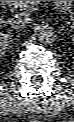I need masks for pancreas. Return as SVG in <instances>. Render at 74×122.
I'll return each mask as SVG.
<instances>
[{"label": "pancreas", "mask_w": 74, "mask_h": 122, "mask_svg": "<svg viewBox=\"0 0 74 122\" xmlns=\"http://www.w3.org/2000/svg\"><path fill=\"white\" fill-rule=\"evenodd\" d=\"M40 1H9L13 8L35 9Z\"/></svg>", "instance_id": "1"}]
</instances>
